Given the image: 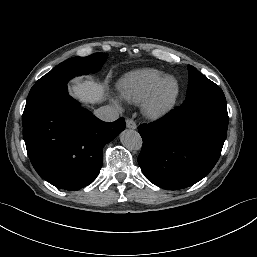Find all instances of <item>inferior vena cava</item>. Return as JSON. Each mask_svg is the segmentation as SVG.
Wrapping results in <instances>:
<instances>
[{"mask_svg":"<svg viewBox=\"0 0 257 257\" xmlns=\"http://www.w3.org/2000/svg\"><path fill=\"white\" fill-rule=\"evenodd\" d=\"M97 118L105 122H113L119 118L118 110L112 106H102L94 111Z\"/></svg>","mask_w":257,"mask_h":257,"instance_id":"1","label":"inferior vena cava"}]
</instances>
